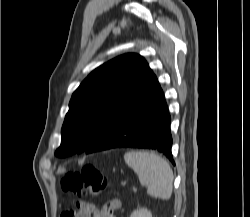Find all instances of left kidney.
<instances>
[{
	"instance_id": "5707ae66",
	"label": "left kidney",
	"mask_w": 250,
	"mask_h": 217,
	"mask_svg": "<svg viewBox=\"0 0 250 217\" xmlns=\"http://www.w3.org/2000/svg\"><path fill=\"white\" fill-rule=\"evenodd\" d=\"M130 217H152V214L145 208H139L133 211Z\"/></svg>"
}]
</instances>
